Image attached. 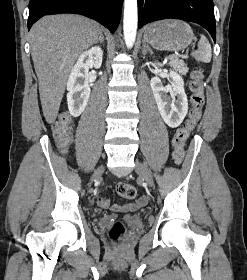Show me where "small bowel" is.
<instances>
[{
	"label": "small bowel",
	"instance_id": "small-bowel-1",
	"mask_svg": "<svg viewBox=\"0 0 247 280\" xmlns=\"http://www.w3.org/2000/svg\"><path fill=\"white\" fill-rule=\"evenodd\" d=\"M101 200L104 201L103 205L100 204ZM146 203H147L146 197L142 196V197L138 198L134 203L126 204V205H123V206H114V209L117 210V211H120V210H137V209H140L143 206H145ZM98 205L101 208H108L110 206V202L107 199L100 198L98 200Z\"/></svg>",
	"mask_w": 247,
	"mask_h": 280
}]
</instances>
